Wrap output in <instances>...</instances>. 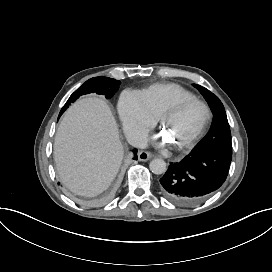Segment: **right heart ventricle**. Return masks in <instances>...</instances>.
Here are the masks:
<instances>
[{"label":"right heart ventricle","mask_w":272,"mask_h":272,"mask_svg":"<svg viewBox=\"0 0 272 272\" xmlns=\"http://www.w3.org/2000/svg\"><path fill=\"white\" fill-rule=\"evenodd\" d=\"M147 108L160 117L162 111L176 98L194 99V95L177 84H156L140 92Z\"/></svg>","instance_id":"obj_1"}]
</instances>
